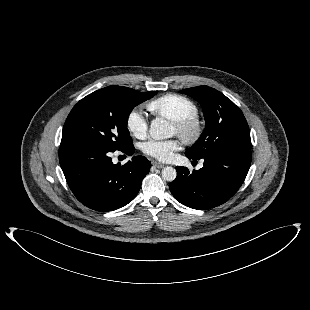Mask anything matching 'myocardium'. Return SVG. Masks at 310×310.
<instances>
[{
    "label": "myocardium",
    "mask_w": 310,
    "mask_h": 310,
    "mask_svg": "<svg viewBox=\"0 0 310 310\" xmlns=\"http://www.w3.org/2000/svg\"><path fill=\"white\" fill-rule=\"evenodd\" d=\"M176 128V133L187 144L196 143L204 131L203 121L197 116H189L179 120L172 121Z\"/></svg>",
    "instance_id": "obj_1"
}]
</instances>
